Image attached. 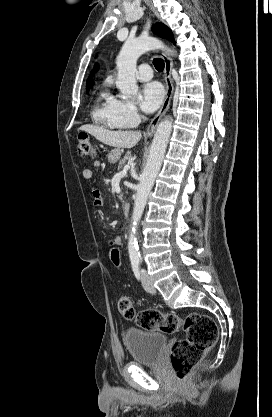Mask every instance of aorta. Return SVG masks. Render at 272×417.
Instances as JSON below:
<instances>
[{"label":"aorta","mask_w":272,"mask_h":417,"mask_svg":"<svg viewBox=\"0 0 272 417\" xmlns=\"http://www.w3.org/2000/svg\"><path fill=\"white\" fill-rule=\"evenodd\" d=\"M154 49H165L168 53H173V51L166 48L160 40L150 36L128 39L123 44L116 60L118 70L116 86L120 90L123 99H128L137 94L138 85L135 78L137 60L143 53ZM171 131L172 118L163 119L156 129L147 163L137 187L131 230L128 239V253L132 262L139 261L140 259L136 239L137 226L141 220L148 196L161 168Z\"/></svg>","instance_id":"1"}]
</instances>
